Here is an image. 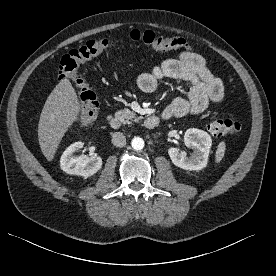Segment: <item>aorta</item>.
Instances as JSON below:
<instances>
[{
	"label": "aorta",
	"mask_w": 276,
	"mask_h": 276,
	"mask_svg": "<svg viewBox=\"0 0 276 276\" xmlns=\"http://www.w3.org/2000/svg\"><path fill=\"white\" fill-rule=\"evenodd\" d=\"M144 140L140 137H134L131 141V146L134 150H142L144 148Z\"/></svg>",
	"instance_id": "1"
}]
</instances>
